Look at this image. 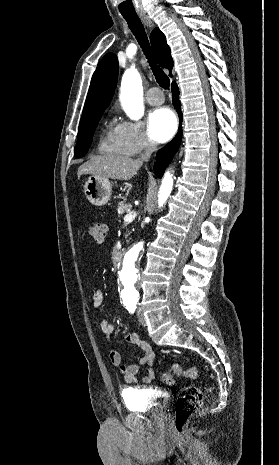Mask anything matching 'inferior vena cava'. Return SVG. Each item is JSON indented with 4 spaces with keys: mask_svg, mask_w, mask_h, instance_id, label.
<instances>
[{
    "mask_svg": "<svg viewBox=\"0 0 279 465\" xmlns=\"http://www.w3.org/2000/svg\"><path fill=\"white\" fill-rule=\"evenodd\" d=\"M156 146L157 145L154 141L149 140L147 142L145 152L141 155L140 161L142 162L148 160L151 157L152 153L156 151Z\"/></svg>",
    "mask_w": 279,
    "mask_h": 465,
    "instance_id": "inferior-vena-cava-1",
    "label": "inferior vena cava"
}]
</instances>
